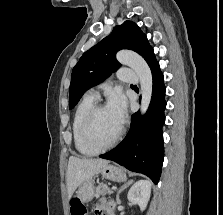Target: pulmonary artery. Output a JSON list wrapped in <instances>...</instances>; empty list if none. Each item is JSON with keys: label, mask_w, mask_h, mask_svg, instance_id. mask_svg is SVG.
<instances>
[{"label": "pulmonary artery", "mask_w": 223, "mask_h": 215, "mask_svg": "<svg viewBox=\"0 0 223 215\" xmlns=\"http://www.w3.org/2000/svg\"><path fill=\"white\" fill-rule=\"evenodd\" d=\"M123 83L134 82L133 84L136 86L138 83V73H133V69H120V77ZM86 96L93 100H97L99 98V94L95 90H90Z\"/></svg>", "instance_id": "pulmonary-artery-1"}]
</instances>
